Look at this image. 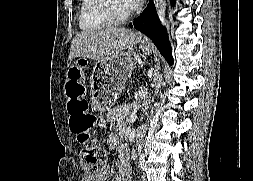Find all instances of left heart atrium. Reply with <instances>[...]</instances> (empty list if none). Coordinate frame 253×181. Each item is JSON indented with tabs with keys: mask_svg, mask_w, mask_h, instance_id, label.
I'll list each match as a JSON object with an SVG mask.
<instances>
[{
	"mask_svg": "<svg viewBox=\"0 0 253 181\" xmlns=\"http://www.w3.org/2000/svg\"><path fill=\"white\" fill-rule=\"evenodd\" d=\"M123 1L129 11L139 9L144 3V0H123Z\"/></svg>",
	"mask_w": 253,
	"mask_h": 181,
	"instance_id": "1",
	"label": "left heart atrium"
}]
</instances>
